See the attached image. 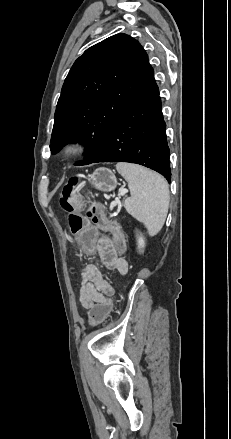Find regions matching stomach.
Returning a JSON list of instances; mask_svg holds the SVG:
<instances>
[{"label":"stomach","mask_w":231,"mask_h":439,"mask_svg":"<svg viewBox=\"0 0 231 439\" xmlns=\"http://www.w3.org/2000/svg\"><path fill=\"white\" fill-rule=\"evenodd\" d=\"M90 185L102 192H111L117 186V180L112 171L106 168H99L89 175Z\"/></svg>","instance_id":"1"}]
</instances>
